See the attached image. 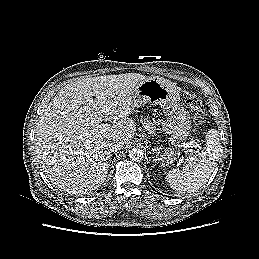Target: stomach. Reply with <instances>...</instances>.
<instances>
[{
	"instance_id": "0dacf381",
	"label": "stomach",
	"mask_w": 259,
	"mask_h": 259,
	"mask_svg": "<svg viewBox=\"0 0 259 259\" xmlns=\"http://www.w3.org/2000/svg\"><path fill=\"white\" fill-rule=\"evenodd\" d=\"M180 90L170 80L152 77L139 84L132 93L135 107L146 104L159 105L166 119L162 121L163 131L169 135L170 147L158 150L161 165L167 166L177 158V148L191 132V120L188 112L180 106Z\"/></svg>"
}]
</instances>
